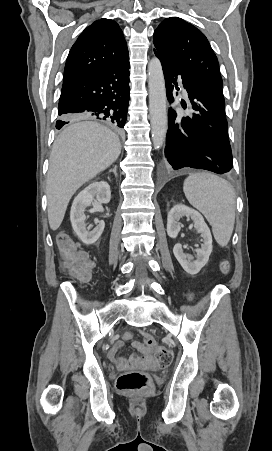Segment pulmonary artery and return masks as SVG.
Returning <instances> with one entry per match:
<instances>
[{
    "instance_id": "obj_1",
    "label": "pulmonary artery",
    "mask_w": 272,
    "mask_h": 451,
    "mask_svg": "<svg viewBox=\"0 0 272 451\" xmlns=\"http://www.w3.org/2000/svg\"><path fill=\"white\" fill-rule=\"evenodd\" d=\"M180 89L182 90V94L184 95V98L186 100H189L191 98L189 91L187 89H185L183 86Z\"/></svg>"
}]
</instances>
